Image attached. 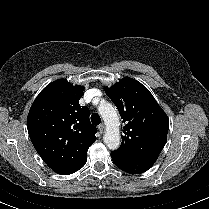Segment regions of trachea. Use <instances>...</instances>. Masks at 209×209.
<instances>
[{
    "label": "trachea",
    "mask_w": 209,
    "mask_h": 209,
    "mask_svg": "<svg viewBox=\"0 0 209 209\" xmlns=\"http://www.w3.org/2000/svg\"><path fill=\"white\" fill-rule=\"evenodd\" d=\"M91 122L94 125H99L101 122V118L98 114L94 113L91 115Z\"/></svg>",
    "instance_id": "obj_1"
}]
</instances>
